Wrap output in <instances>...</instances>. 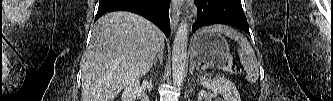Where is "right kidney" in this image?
<instances>
[{
    "instance_id": "ca27d5eb",
    "label": "right kidney",
    "mask_w": 333,
    "mask_h": 101,
    "mask_svg": "<svg viewBox=\"0 0 333 101\" xmlns=\"http://www.w3.org/2000/svg\"><path fill=\"white\" fill-rule=\"evenodd\" d=\"M139 81L131 80L125 87L121 96L122 101H136V99H140V101H149L148 97L139 90Z\"/></svg>"
}]
</instances>
